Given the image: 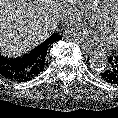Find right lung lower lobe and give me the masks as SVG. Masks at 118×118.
Instances as JSON below:
<instances>
[{
  "instance_id": "right-lung-lower-lobe-1",
  "label": "right lung lower lobe",
  "mask_w": 118,
  "mask_h": 118,
  "mask_svg": "<svg viewBox=\"0 0 118 118\" xmlns=\"http://www.w3.org/2000/svg\"><path fill=\"white\" fill-rule=\"evenodd\" d=\"M59 39L61 37L57 35V40ZM37 61L38 59L32 51L18 58H7L0 55V75L14 82L29 81L43 70L37 67Z\"/></svg>"
}]
</instances>
